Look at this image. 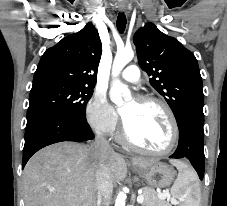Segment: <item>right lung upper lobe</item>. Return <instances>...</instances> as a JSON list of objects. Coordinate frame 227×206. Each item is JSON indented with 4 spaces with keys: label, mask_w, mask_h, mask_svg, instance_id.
<instances>
[{
    "label": "right lung upper lobe",
    "mask_w": 227,
    "mask_h": 206,
    "mask_svg": "<svg viewBox=\"0 0 227 206\" xmlns=\"http://www.w3.org/2000/svg\"><path fill=\"white\" fill-rule=\"evenodd\" d=\"M102 44L92 23L75 34L64 37L42 55L33 83L59 81L95 87Z\"/></svg>",
    "instance_id": "1"
}]
</instances>
